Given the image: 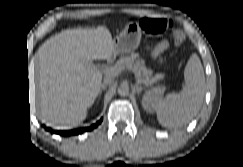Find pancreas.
<instances>
[{"instance_id": "cf45deb5", "label": "pancreas", "mask_w": 243, "mask_h": 167, "mask_svg": "<svg viewBox=\"0 0 243 167\" xmlns=\"http://www.w3.org/2000/svg\"><path fill=\"white\" fill-rule=\"evenodd\" d=\"M115 66L121 70H130L135 74V78L146 85L151 84L153 81L163 78V74L153 76V71L147 69L145 61L139 58V54L132 53L130 56L120 58Z\"/></svg>"}]
</instances>
